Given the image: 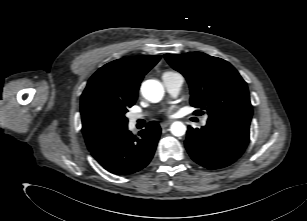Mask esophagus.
Segmentation results:
<instances>
[{
    "instance_id": "esophagus-1",
    "label": "esophagus",
    "mask_w": 307,
    "mask_h": 221,
    "mask_svg": "<svg viewBox=\"0 0 307 221\" xmlns=\"http://www.w3.org/2000/svg\"><path fill=\"white\" fill-rule=\"evenodd\" d=\"M169 124H171V121H165V122L160 123V126L162 128H166Z\"/></svg>"
}]
</instances>
